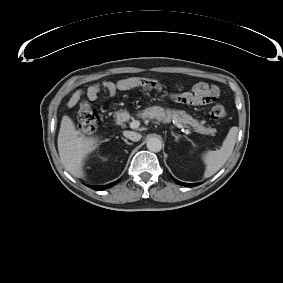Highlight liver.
<instances>
[{
	"label": "liver",
	"instance_id": "obj_1",
	"mask_svg": "<svg viewBox=\"0 0 283 283\" xmlns=\"http://www.w3.org/2000/svg\"><path fill=\"white\" fill-rule=\"evenodd\" d=\"M57 142L60 160L65 169L75 177H84L83 160L96 148L94 141L78 137L74 122L65 115L61 120Z\"/></svg>",
	"mask_w": 283,
	"mask_h": 283
}]
</instances>
